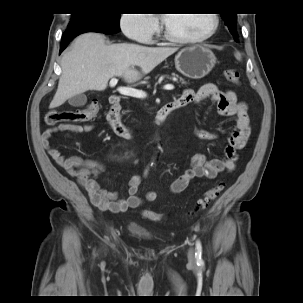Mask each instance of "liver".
I'll return each mask as SVG.
<instances>
[{
	"mask_svg": "<svg viewBox=\"0 0 303 303\" xmlns=\"http://www.w3.org/2000/svg\"><path fill=\"white\" fill-rule=\"evenodd\" d=\"M177 51L172 47H147L137 44H112L105 36L85 33L77 37L61 60L62 74L50 108L59 107L71 97L88 90L103 91L109 79L122 77L133 83Z\"/></svg>",
	"mask_w": 303,
	"mask_h": 303,
	"instance_id": "liver-1",
	"label": "liver"
}]
</instances>
